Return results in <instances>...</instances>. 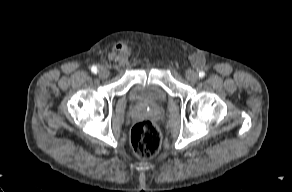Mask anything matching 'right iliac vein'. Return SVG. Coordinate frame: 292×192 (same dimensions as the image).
<instances>
[{"label": "right iliac vein", "mask_w": 292, "mask_h": 192, "mask_svg": "<svg viewBox=\"0 0 292 192\" xmlns=\"http://www.w3.org/2000/svg\"><path fill=\"white\" fill-rule=\"evenodd\" d=\"M98 75L101 79H105L109 76V71L105 68H101L98 72Z\"/></svg>", "instance_id": "right-iliac-vein-1"}]
</instances>
